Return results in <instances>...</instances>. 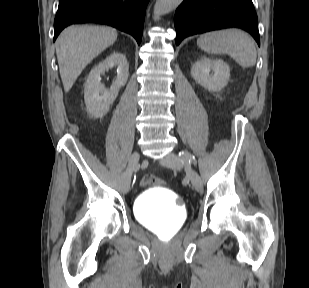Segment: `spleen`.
<instances>
[{"label": "spleen", "mask_w": 309, "mask_h": 288, "mask_svg": "<svg viewBox=\"0 0 309 288\" xmlns=\"http://www.w3.org/2000/svg\"><path fill=\"white\" fill-rule=\"evenodd\" d=\"M197 45L210 54H228L241 67L256 64L257 52L253 40L239 29L211 31L197 39Z\"/></svg>", "instance_id": "spleen-1"}]
</instances>
